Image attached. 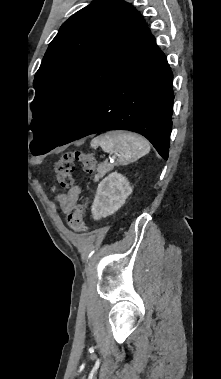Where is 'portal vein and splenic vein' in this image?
<instances>
[{"label":"portal vein and splenic vein","mask_w":221,"mask_h":379,"mask_svg":"<svg viewBox=\"0 0 221 379\" xmlns=\"http://www.w3.org/2000/svg\"><path fill=\"white\" fill-rule=\"evenodd\" d=\"M114 158H115V156H112L110 159H111V160H114Z\"/></svg>","instance_id":"obj_1"}]
</instances>
